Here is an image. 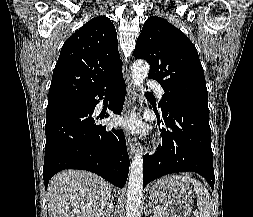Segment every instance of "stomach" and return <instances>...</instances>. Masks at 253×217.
<instances>
[{
    "label": "stomach",
    "mask_w": 253,
    "mask_h": 217,
    "mask_svg": "<svg viewBox=\"0 0 253 217\" xmlns=\"http://www.w3.org/2000/svg\"><path fill=\"white\" fill-rule=\"evenodd\" d=\"M149 194L151 199L159 200L175 217H190L194 196L187 183L165 176L150 187Z\"/></svg>",
    "instance_id": "1"
}]
</instances>
